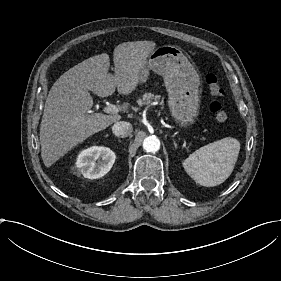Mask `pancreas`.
<instances>
[{
  "instance_id": "1",
  "label": "pancreas",
  "mask_w": 281,
  "mask_h": 281,
  "mask_svg": "<svg viewBox=\"0 0 281 281\" xmlns=\"http://www.w3.org/2000/svg\"><path fill=\"white\" fill-rule=\"evenodd\" d=\"M135 99L139 107L151 103V100H153L154 102H160V104H162L164 101V97L150 92H145L142 97L136 96Z\"/></svg>"
}]
</instances>
